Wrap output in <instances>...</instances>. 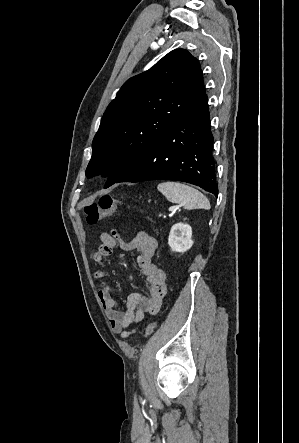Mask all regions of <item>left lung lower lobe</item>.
I'll use <instances>...</instances> for the list:
<instances>
[{"label":"left lung lower lobe","instance_id":"0a47b994","mask_svg":"<svg viewBox=\"0 0 299 443\" xmlns=\"http://www.w3.org/2000/svg\"><path fill=\"white\" fill-rule=\"evenodd\" d=\"M212 145L208 99L204 94L115 183L178 180L200 186L217 197Z\"/></svg>","mask_w":299,"mask_h":443}]
</instances>
